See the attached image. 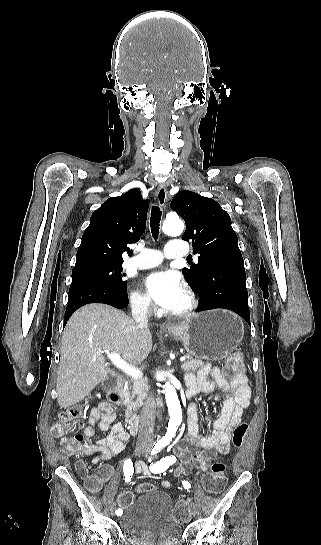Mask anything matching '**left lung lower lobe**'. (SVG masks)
Listing matches in <instances>:
<instances>
[{
	"mask_svg": "<svg viewBox=\"0 0 321 545\" xmlns=\"http://www.w3.org/2000/svg\"><path fill=\"white\" fill-rule=\"evenodd\" d=\"M195 288L200 296L197 311L229 309L250 325L243 258L221 260L212 265Z\"/></svg>",
	"mask_w": 321,
	"mask_h": 545,
	"instance_id": "0a47b994",
	"label": "left lung lower lobe"
}]
</instances>
